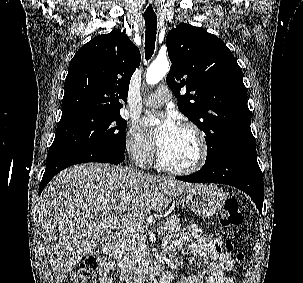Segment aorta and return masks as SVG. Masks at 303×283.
<instances>
[{
  "mask_svg": "<svg viewBox=\"0 0 303 283\" xmlns=\"http://www.w3.org/2000/svg\"><path fill=\"white\" fill-rule=\"evenodd\" d=\"M170 64L167 59H156L146 72V82L149 85L157 84L169 71Z\"/></svg>",
  "mask_w": 303,
  "mask_h": 283,
  "instance_id": "obj_1",
  "label": "aorta"
}]
</instances>
